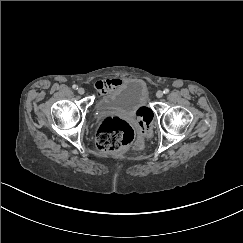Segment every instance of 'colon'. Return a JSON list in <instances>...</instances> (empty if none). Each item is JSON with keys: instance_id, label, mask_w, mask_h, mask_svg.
I'll return each mask as SVG.
<instances>
[{"instance_id": "1", "label": "colon", "mask_w": 243, "mask_h": 243, "mask_svg": "<svg viewBox=\"0 0 243 243\" xmlns=\"http://www.w3.org/2000/svg\"><path fill=\"white\" fill-rule=\"evenodd\" d=\"M151 118V114L146 111L140 127L137 146H141L142 140L149 134ZM134 138V130L127 121L116 116L106 115L100 121L96 144L100 151L114 153L130 145Z\"/></svg>"}]
</instances>
